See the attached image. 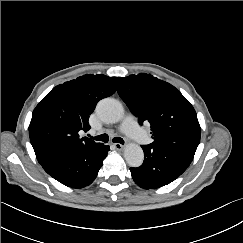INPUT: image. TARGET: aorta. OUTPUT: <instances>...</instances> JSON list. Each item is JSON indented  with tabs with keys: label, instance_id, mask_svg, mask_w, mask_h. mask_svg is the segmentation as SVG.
<instances>
[{
	"label": "aorta",
	"instance_id": "1",
	"mask_svg": "<svg viewBox=\"0 0 243 243\" xmlns=\"http://www.w3.org/2000/svg\"><path fill=\"white\" fill-rule=\"evenodd\" d=\"M96 112L103 121L109 123L119 122L124 117L122 104L113 98H105L99 101ZM124 157L129 166L139 167L143 163L144 153L139 145L130 143L125 147Z\"/></svg>",
	"mask_w": 243,
	"mask_h": 243
}]
</instances>
